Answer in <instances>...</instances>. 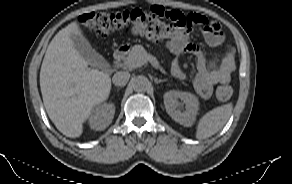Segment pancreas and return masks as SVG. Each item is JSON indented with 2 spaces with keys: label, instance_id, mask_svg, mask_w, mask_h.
I'll return each instance as SVG.
<instances>
[{
  "label": "pancreas",
  "instance_id": "obj_1",
  "mask_svg": "<svg viewBox=\"0 0 292 184\" xmlns=\"http://www.w3.org/2000/svg\"><path fill=\"white\" fill-rule=\"evenodd\" d=\"M147 55V51L142 45H135L130 50L128 56L125 58V65L132 67L133 64H137L140 59Z\"/></svg>",
  "mask_w": 292,
  "mask_h": 184
}]
</instances>
